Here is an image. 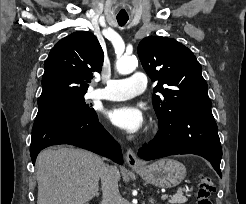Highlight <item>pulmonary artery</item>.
I'll return each instance as SVG.
<instances>
[{
	"mask_svg": "<svg viewBox=\"0 0 246 204\" xmlns=\"http://www.w3.org/2000/svg\"><path fill=\"white\" fill-rule=\"evenodd\" d=\"M147 77L142 72H135L130 77L109 80L105 88L97 89L93 97L105 100L121 101L133 98L145 91Z\"/></svg>",
	"mask_w": 246,
	"mask_h": 204,
	"instance_id": "obj_1",
	"label": "pulmonary artery"
}]
</instances>
